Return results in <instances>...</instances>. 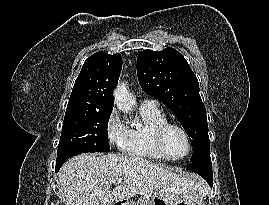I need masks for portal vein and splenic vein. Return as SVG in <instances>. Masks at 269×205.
<instances>
[{
    "label": "portal vein and splenic vein",
    "mask_w": 269,
    "mask_h": 205,
    "mask_svg": "<svg viewBox=\"0 0 269 205\" xmlns=\"http://www.w3.org/2000/svg\"><path fill=\"white\" fill-rule=\"evenodd\" d=\"M122 182V179L117 178L113 181V184H120Z\"/></svg>",
    "instance_id": "18ae733b"
}]
</instances>
